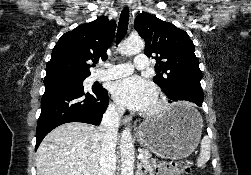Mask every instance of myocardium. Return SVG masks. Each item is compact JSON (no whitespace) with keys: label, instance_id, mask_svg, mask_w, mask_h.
<instances>
[{"label":"myocardium","instance_id":"f54148a6","mask_svg":"<svg viewBox=\"0 0 251 175\" xmlns=\"http://www.w3.org/2000/svg\"><path fill=\"white\" fill-rule=\"evenodd\" d=\"M165 110H166V105H165L164 103L160 102V103L156 106L154 112H155L156 114H162V113L165 112Z\"/></svg>","mask_w":251,"mask_h":175}]
</instances>
